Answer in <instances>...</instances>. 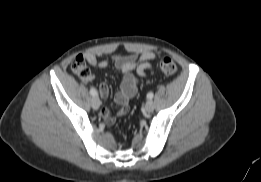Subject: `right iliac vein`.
Wrapping results in <instances>:
<instances>
[{"label": "right iliac vein", "instance_id": "right-iliac-vein-1", "mask_svg": "<svg viewBox=\"0 0 261 182\" xmlns=\"http://www.w3.org/2000/svg\"><path fill=\"white\" fill-rule=\"evenodd\" d=\"M91 106L93 109L97 110L100 106V100L97 96L92 97Z\"/></svg>", "mask_w": 261, "mask_h": 182}]
</instances>
